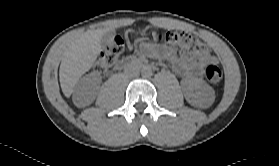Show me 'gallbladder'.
<instances>
[{"label":"gallbladder","mask_w":279,"mask_h":166,"mask_svg":"<svg viewBox=\"0 0 279 166\" xmlns=\"http://www.w3.org/2000/svg\"><path fill=\"white\" fill-rule=\"evenodd\" d=\"M115 33L113 31H109L105 33L100 40V45L103 49L110 47L114 44Z\"/></svg>","instance_id":"bac80fb5"}]
</instances>
